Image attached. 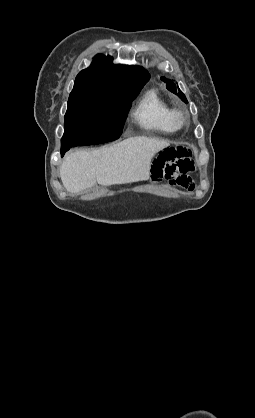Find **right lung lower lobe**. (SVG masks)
<instances>
[{
    "label": "right lung lower lobe",
    "mask_w": 255,
    "mask_h": 418,
    "mask_svg": "<svg viewBox=\"0 0 255 418\" xmlns=\"http://www.w3.org/2000/svg\"><path fill=\"white\" fill-rule=\"evenodd\" d=\"M70 147L68 146H61V155L63 156L64 153L69 149Z\"/></svg>",
    "instance_id": "obj_1"
}]
</instances>
